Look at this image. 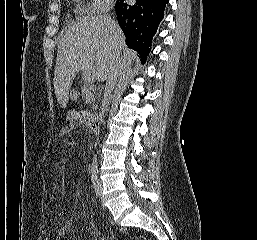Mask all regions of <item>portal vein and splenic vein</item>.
I'll list each match as a JSON object with an SVG mask.
<instances>
[{
    "label": "portal vein and splenic vein",
    "mask_w": 257,
    "mask_h": 240,
    "mask_svg": "<svg viewBox=\"0 0 257 240\" xmlns=\"http://www.w3.org/2000/svg\"><path fill=\"white\" fill-rule=\"evenodd\" d=\"M89 98L93 100V99H94V96H93L92 94H90V95H89Z\"/></svg>",
    "instance_id": "obj_1"
}]
</instances>
